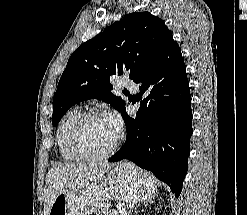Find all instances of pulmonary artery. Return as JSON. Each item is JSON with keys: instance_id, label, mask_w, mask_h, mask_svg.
I'll return each instance as SVG.
<instances>
[{"instance_id": "1", "label": "pulmonary artery", "mask_w": 247, "mask_h": 215, "mask_svg": "<svg viewBox=\"0 0 247 215\" xmlns=\"http://www.w3.org/2000/svg\"><path fill=\"white\" fill-rule=\"evenodd\" d=\"M121 85L127 89H129L132 92H137L138 91V86L135 82H133L130 79L127 78H122L121 79Z\"/></svg>"}]
</instances>
